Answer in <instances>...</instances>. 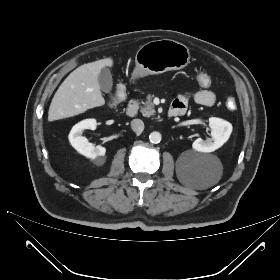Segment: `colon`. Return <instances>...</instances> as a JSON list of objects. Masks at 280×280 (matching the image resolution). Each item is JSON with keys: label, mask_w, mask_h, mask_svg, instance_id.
<instances>
[{"label": "colon", "mask_w": 280, "mask_h": 280, "mask_svg": "<svg viewBox=\"0 0 280 280\" xmlns=\"http://www.w3.org/2000/svg\"><path fill=\"white\" fill-rule=\"evenodd\" d=\"M194 82L200 88L206 89V88H209L211 86L212 78L207 73L199 72V73H197L195 75ZM123 93H124L123 89L119 90L118 93L115 96L116 100H119L122 97ZM226 106L230 110H235L236 109V100H235V98L231 97V96L227 97V99H226Z\"/></svg>", "instance_id": "1"}]
</instances>
